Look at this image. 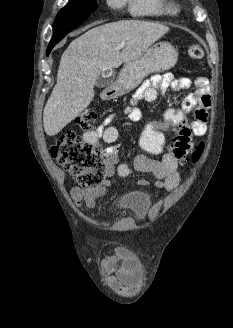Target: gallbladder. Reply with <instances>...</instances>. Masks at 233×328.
<instances>
[{"label":"gallbladder","instance_id":"bac80fb5","mask_svg":"<svg viewBox=\"0 0 233 328\" xmlns=\"http://www.w3.org/2000/svg\"><path fill=\"white\" fill-rule=\"evenodd\" d=\"M112 79H113V76L104 77L103 75H100L97 79L96 86L101 87V88L106 87L107 85H109L111 83Z\"/></svg>","mask_w":233,"mask_h":328}]
</instances>
